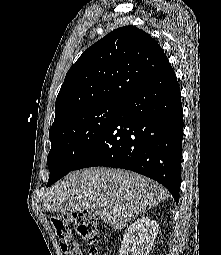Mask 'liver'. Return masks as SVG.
<instances>
[{
	"label": "liver",
	"mask_w": 221,
	"mask_h": 255,
	"mask_svg": "<svg viewBox=\"0 0 221 255\" xmlns=\"http://www.w3.org/2000/svg\"><path fill=\"white\" fill-rule=\"evenodd\" d=\"M167 197V190L150 178L128 170L93 167L71 172L50 188L43 207L61 213L95 209L104 223L119 230Z\"/></svg>",
	"instance_id": "1"
}]
</instances>
